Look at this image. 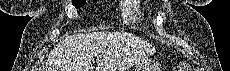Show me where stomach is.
<instances>
[{"mask_svg":"<svg viewBox=\"0 0 230 71\" xmlns=\"http://www.w3.org/2000/svg\"><path fill=\"white\" fill-rule=\"evenodd\" d=\"M157 67L150 62H146L136 66L133 71H156Z\"/></svg>","mask_w":230,"mask_h":71,"instance_id":"0dacf381","label":"stomach"}]
</instances>
